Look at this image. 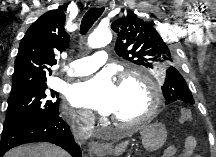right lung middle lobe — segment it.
I'll list each match as a JSON object with an SVG mask.
<instances>
[{
	"instance_id": "1",
	"label": "right lung middle lobe",
	"mask_w": 216,
	"mask_h": 157,
	"mask_svg": "<svg viewBox=\"0 0 216 157\" xmlns=\"http://www.w3.org/2000/svg\"><path fill=\"white\" fill-rule=\"evenodd\" d=\"M54 97H57V101L51 99ZM58 105V93L51 90L49 94L46 85L10 93L3 130L30 119L57 116L59 114Z\"/></svg>"
}]
</instances>
